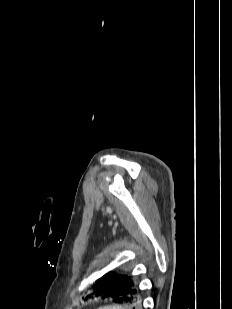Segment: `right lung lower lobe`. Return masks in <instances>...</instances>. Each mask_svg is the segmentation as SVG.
<instances>
[{"mask_svg":"<svg viewBox=\"0 0 232 309\" xmlns=\"http://www.w3.org/2000/svg\"><path fill=\"white\" fill-rule=\"evenodd\" d=\"M92 295L102 298L111 297L117 303L131 304L133 309L139 306V290L128 276L118 278L110 286H102L94 289Z\"/></svg>","mask_w":232,"mask_h":309,"instance_id":"right-lung-lower-lobe-1","label":"right lung lower lobe"}]
</instances>
